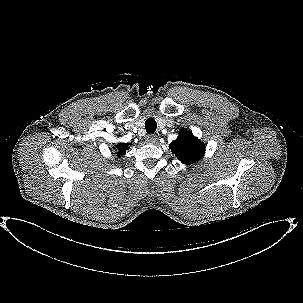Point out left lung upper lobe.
Instances as JSON below:
<instances>
[{
    "instance_id": "5c2ea615",
    "label": "left lung upper lobe",
    "mask_w": 303,
    "mask_h": 303,
    "mask_svg": "<svg viewBox=\"0 0 303 303\" xmlns=\"http://www.w3.org/2000/svg\"><path fill=\"white\" fill-rule=\"evenodd\" d=\"M169 148L183 164H191L200 160L205 151L203 143L186 130L180 132L179 137L171 142Z\"/></svg>"
}]
</instances>
